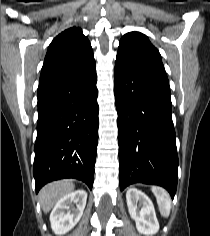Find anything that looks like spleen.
<instances>
[{
	"label": "spleen",
	"mask_w": 210,
	"mask_h": 236,
	"mask_svg": "<svg viewBox=\"0 0 210 236\" xmlns=\"http://www.w3.org/2000/svg\"><path fill=\"white\" fill-rule=\"evenodd\" d=\"M151 189L156 197L161 215L168 217L171 210V198L169 194L159 187H152Z\"/></svg>",
	"instance_id": "obj_1"
}]
</instances>
